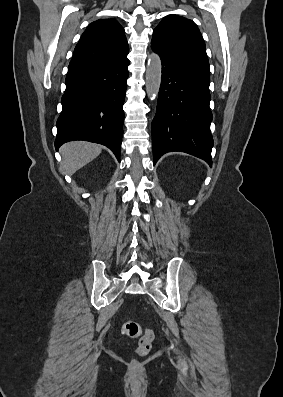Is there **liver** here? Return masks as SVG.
Instances as JSON below:
<instances>
[{
	"label": "liver",
	"instance_id": "obj_1",
	"mask_svg": "<svg viewBox=\"0 0 283 397\" xmlns=\"http://www.w3.org/2000/svg\"><path fill=\"white\" fill-rule=\"evenodd\" d=\"M102 151V146L85 141H73L60 148L62 155L61 167L68 175L94 160Z\"/></svg>",
	"mask_w": 283,
	"mask_h": 397
}]
</instances>
